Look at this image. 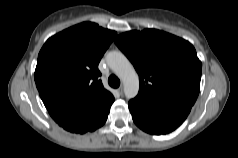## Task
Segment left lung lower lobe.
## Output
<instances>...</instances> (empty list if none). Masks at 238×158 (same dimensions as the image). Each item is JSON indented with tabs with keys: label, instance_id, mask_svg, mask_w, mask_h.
Here are the masks:
<instances>
[{
	"label": "left lung lower lobe",
	"instance_id": "obj_1",
	"mask_svg": "<svg viewBox=\"0 0 238 158\" xmlns=\"http://www.w3.org/2000/svg\"><path fill=\"white\" fill-rule=\"evenodd\" d=\"M133 121L143 131L160 135L175 130L188 116L192 105L178 104L166 107H148L136 100L128 103Z\"/></svg>",
	"mask_w": 238,
	"mask_h": 158
}]
</instances>
